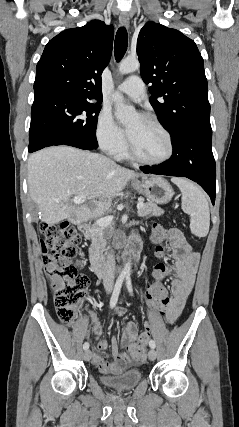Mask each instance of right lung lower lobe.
<instances>
[{"mask_svg":"<svg viewBox=\"0 0 239 427\" xmlns=\"http://www.w3.org/2000/svg\"><path fill=\"white\" fill-rule=\"evenodd\" d=\"M54 145H62V144H54ZM50 146H52V145H50ZM70 146H73V145H70ZM46 147H48V146H46ZM74 147H78V148H81V149H86V148H84V147H80V146H74ZM98 147V145L95 147V148H92V149H96ZM44 148V147H43ZM91 148V147H90ZM42 149V148H41ZM92 149H87V150H92ZM34 151H37V150H29V152L30 153H32V152H34Z\"/></svg>","mask_w":239,"mask_h":427,"instance_id":"obj_1","label":"right lung lower lobe"}]
</instances>
